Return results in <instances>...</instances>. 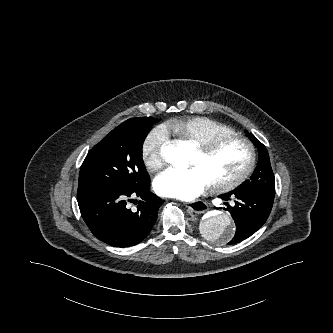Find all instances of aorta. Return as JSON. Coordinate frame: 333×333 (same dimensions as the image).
<instances>
[{
	"label": "aorta",
	"mask_w": 333,
	"mask_h": 333,
	"mask_svg": "<svg viewBox=\"0 0 333 333\" xmlns=\"http://www.w3.org/2000/svg\"><path fill=\"white\" fill-rule=\"evenodd\" d=\"M163 156L168 163L180 166L189 164L190 150L183 144H177L163 150ZM235 232L232 218L223 212H211L202 222V235L205 239L223 243L231 239Z\"/></svg>",
	"instance_id": "1"
}]
</instances>
